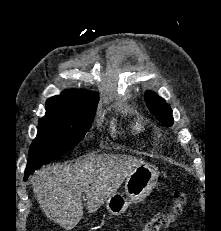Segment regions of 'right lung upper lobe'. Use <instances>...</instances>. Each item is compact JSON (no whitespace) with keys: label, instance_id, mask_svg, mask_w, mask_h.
<instances>
[{"label":"right lung upper lobe","instance_id":"1","mask_svg":"<svg viewBox=\"0 0 221 231\" xmlns=\"http://www.w3.org/2000/svg\"><path fill=\"white\" fill-rule=\"evenodd\" d=\"M98 94L87 90H66L59 96H54L46 102L47 113H77L97 106Z\"/></svg>","mask_w":221,"mask_h":231}]
</instances>
